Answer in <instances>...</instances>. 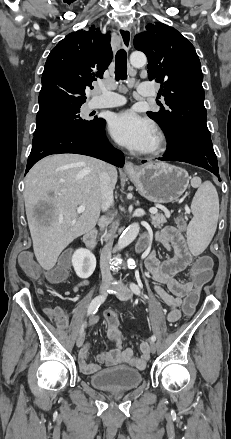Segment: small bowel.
<instances>
[{"label":"small bowel","mask_w":231,"mask_h":439,"mask_svg":"<svg viewBox=\"0 0 231 439\" xmlns=\"http://www.w3.org/2000/svg\"><path fill=\"white\" fill-rule=\"evenodd\" d=\"M143 239L147 244H150L152 240L160 243L172 254L171 257L161 261L156 256V252L149 248L146 253L145 266L157 283L155 286L157 294L169 307L168 320L175 322L181 316L183 295L194 287L192 280L183 282L178 280L176 275L190 264L192 254L183 234L173 226L157 231L152 238L144 236ZM86 285H88V280H83L74 286L73 291L77 292ZM49 315L59 327L68 326V318L63 308L56 307L49 310ZM104 320L107 326V336L114 347L99 353L97 363H93L90 362L88 345L84 346L79 353L81 370L86 374L95 373L100 369L99 364L108 366L126 364L137 369H144L149 359L147 343L144 341L140 343L141 355L135 356L131 348H123V336L118 326L117 315L114 312H107Z\"/></svg>","instance_id":"1"}]
</instances>
